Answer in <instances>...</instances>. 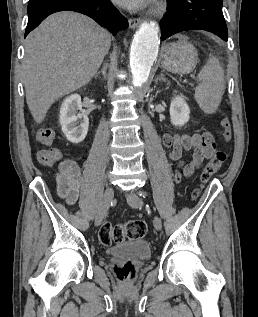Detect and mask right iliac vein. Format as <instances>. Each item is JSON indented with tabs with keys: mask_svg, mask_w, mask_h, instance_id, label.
I'll return each mask as SVG.
<instances>
[{
	"mask_svg": "<svg viewBox=\"0 0 258 317\" xmlns=\"http://www.w3.org/2000/svg\"><path fill=\"white\" fill-rule=\"evenodd\" d=\"M114 197V189L113 187H106L102 200H101V204L99 206L98 211L96 212V216H95V223L101 224L104 221V216L107 214L108 209H110L111 207V203Z\"/></svg>",
	"mask_w": 258,
	"mask_h": 317,
	"instance_id": "1",
	"label": "right iliac vein"
}]
</instances>
